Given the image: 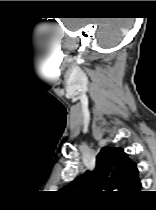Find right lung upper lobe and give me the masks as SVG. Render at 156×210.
<instances>
[{"label": "right lung upper lobe", "instance_id": "obj_1", "mask_svg": "<svg viewBox=\"0 0 156 210\" xmlns=\"http://www.w3.org/2000/svg\"><path fill=\"white\" fill-rule=\"evenodd\" d=\"M81 192L114 193L130 199L140 191L136 164L120 147H103L96 158L94 171H87L68 185Z\"/></svg>", "mask_w": 156, "mask_h": 210}]
</instances>
